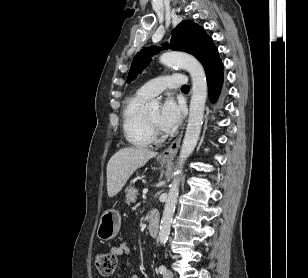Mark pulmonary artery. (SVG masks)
I'll list each match as a JSON object with an SVG mask.
<instances>
[{
    "label": "pulmonary artery",
    "instance_id": "1",
    "mask_svg": "<svg viewBox=\"0 0 308 278\" xmlns=\"http://www.w3.org/2000/svg\"><path fill=\"white\" fill-rule=\"evenodd\" d=\"M187 84V78L182 74H172L150 80L138 89V94L144 98L151 99L165 89L178 88Z\"/></svg>",
    "mask_w": 308,
    "mask_h": 278
}]
</instances>
